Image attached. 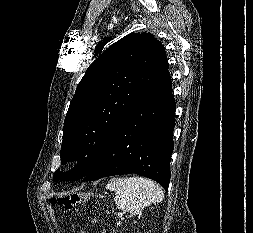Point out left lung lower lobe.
<instances>
[{"label": "left lung lower lobe", "mask_w": 253, "mask_h": 233, "mask_svg": "<svg viewBox=\"0 0 253 233\" xmlns=\"http://www.w3.org/2000/svg\"><path fill=\"white\" fill-rule=\"evenodd\" d=\"M174 112L167 68L118 124L83 181L135 173L157 181L167 191L174 148Z\"/></svg>", "instance_id": "obj_1"}]
</instances>
